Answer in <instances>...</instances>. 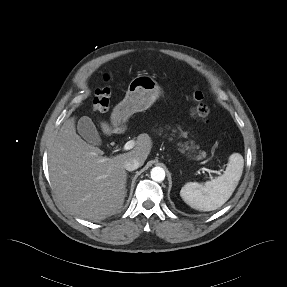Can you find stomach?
Returning <instances> with one entry per match:
<instances>
[{
  "mask_svg": "<svg viewBox=\"0 0 287 287\" xmlns=\"http://www.w3.org/2000/svg\"><path fill=\"white\" fill-rule=\"evenodd\" d=\"M161 94V87L151 76L138 75L133 78L125 98L115 106L111 114L114 128L119 131L132 114L147 110Z\"/></svg>",
  "mask_w": 287,
  "mask_h": 287,
  "instance_id": "0dacf381",
  "label": "stomach"
}]
</instances>
